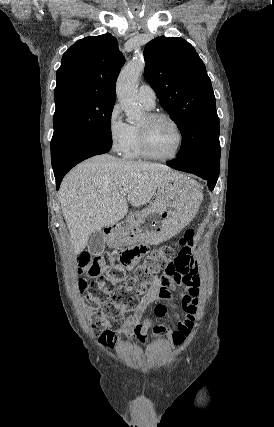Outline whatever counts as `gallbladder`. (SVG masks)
<instances>
[{"instance_id": "1", "label": "gallbladder", "mask_w": 274, "mask_h": 427, "mask_svg": "<svg viewBox=\"0 0 274 427\" xmlns=\"http://www.w3.org/2000/svg\"><path fill=\"white\" fill-rule=\"evenodd\" d=\"M87 247L92 255H101L105 249L104 233L101 229H96L88 237Z\"/></svg>"}]
</instances>
